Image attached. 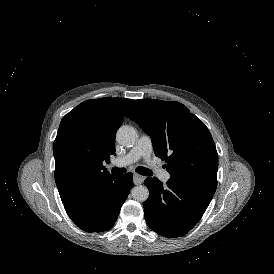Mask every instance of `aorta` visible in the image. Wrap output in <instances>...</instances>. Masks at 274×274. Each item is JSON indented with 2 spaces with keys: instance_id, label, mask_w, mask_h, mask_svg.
Segmentation results:
<instances>
[{
  "instance_id": "762f6f07",
  "label": "aorta",
  "mask_w": 274,
  "mask_h": 274,
  "mask_svg": "<svg viewBox=\"0 0 274 274\" xmlns=\"http://www.w3.org/2000/svg\"><path fill=\"white\" fill-rule=\"evenodd\" d=\"M117 142L123 146H133L137 139V131L131 126H122L118 129L116 134ZM132 197L139 202H144L149 197V190L144 185L136 186L131 191Z\"/></svg>"
}]
</instances>
